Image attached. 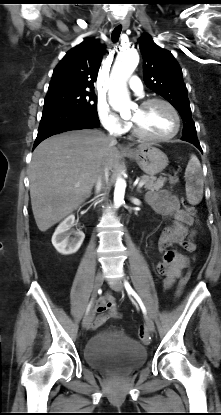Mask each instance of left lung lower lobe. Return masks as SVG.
Masks as SVG:
<instances>
[{
  "label": "left lung lower lobe",
  "instance_id": "left-lung-lower-lobe-1",
  "mask_svg": "<svg viewBox=\"0 0 221 415\" xmlns=\"http://www.w3.org/2000/svg\"><path fill=\"white\" fill-rule=\"evenodd\" d=\"M181 139L195 145L200 151H202L196 133L194 132L184 133L182 134Z\"/></svg>",
  "mask_w": 221,
  "mask_h": 415
}]
</instances>
